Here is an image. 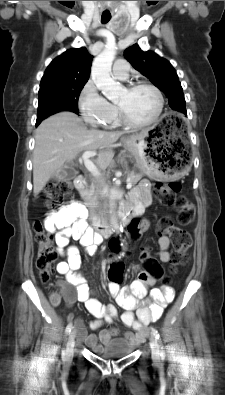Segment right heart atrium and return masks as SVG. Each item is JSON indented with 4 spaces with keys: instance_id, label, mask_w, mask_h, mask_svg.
<instances>
[{
    "instance_id": "1",
    "label": "right heart atrium",
    "mask_w": 225,
    "mask_h": 395,
    "mask_svg": "<svg viewBox=\"0 0 225 395\" xmlns=\"http://www.w3.org/2000/svg\"><path fill=\"white\" fill-rule=\"evenodd\" d=\"M78 106L83 120L93 127H107L117 116L116 108L99 93L91 80L84 85Z\"/></svg>"
}]
</instances>
